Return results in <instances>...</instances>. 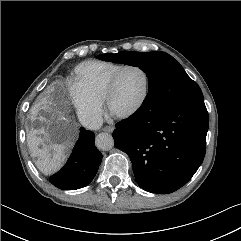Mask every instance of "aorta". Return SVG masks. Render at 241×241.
Instances as JSON below:
<instances>
[{"instance_id":"aorta-1","label":"aorta","mask_w":241,"mask_h":241,"mask_svg":"<svg viewBox=\"0 0 241 241\" xmlns=\"http://www.w3.org/2000/svg\"><path fill=\"white\" fill-rule=\"evenodd\" d=\"M96 146L104 151H108L114 146V139L109 133H100L96 137Z\"/></svg>"}]
</instances>
